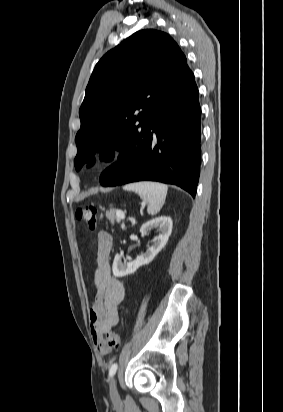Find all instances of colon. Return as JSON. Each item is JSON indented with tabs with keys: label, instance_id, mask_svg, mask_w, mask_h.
<instances>
[{
	"label": "colon",
	"instance_id": "obj_1",
	"mask_svg": "<svg viewBox=\"0 0 283 412\" xmlns=\"http://www.w3.org/2000/svg\"><path fill=\"white\" fill-rule=\"evenodd\" d=\"M75 217L80 223L86 224L93 231L96 228L98 220V211L92 205H83L76 209ZM120 344V337L115 332H109L105 335L101 342V347L104 350L117 348Z\"/></svg>",
	"mask_w": 283,
	"mask_h": 412
}]
</instances>
